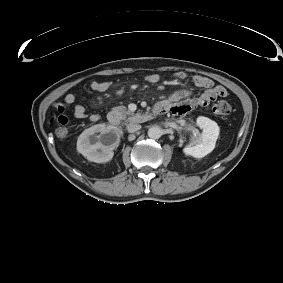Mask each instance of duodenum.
<instances>
[{"label":"duodenum","instance_id":"410a0bca","mask_svg":"<svg viewBox=\"0 0 283 283\" xmlns=\"http://www.w3.org/2000/svg\"><path fill=\"white\" fill-rule=\"evenodd\" d=\"M162 109H164V107H163L161 104H159V105L155 108V110L158 111V112L162 111ZM107 121H108V123H109L110 125H112V126H117L118 123H119L118 117H117L116 115H114V114H109V115H108V118H107Z\"/></svg>","mask_w":283,"mask_h":283}]
</instances>
